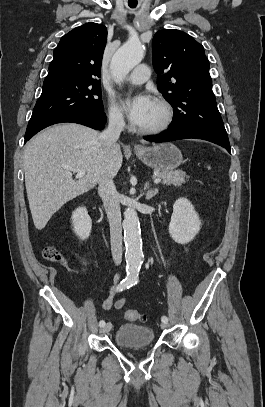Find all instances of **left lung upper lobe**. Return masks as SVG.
I'll list each match as a JSON object with an SVG mask.
<instances>
[{
    "label": "left lung upper lobe",
    "instance_id": "1",
    "mask_svg": "<svg viewBox=\"0 0 265 407\" xmlns=\"http://www.w3.org/2000/svg\"><path fill=\"white\" fill-rule=\"evenodd\" d=\"M152 59L158 90L174 110L169 130L193 129L228 140L203 46L185 32L161 30L152 40Z\"/></svg>",
    "mask_w": 265,
    "mask_h": 407
}]
</instances>
